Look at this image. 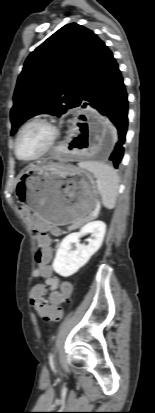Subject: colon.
I'll return each instance as SVG.
<instances>
[{
	"label": "colon",
	"instance_id": "1",
	"mask_svg": "<svg viewBox=\"0 0 155 413\" xmlns=\"http://www.w3.org/2000/svg\"><path fill=\"white\" fill-rule=\"evenodd\" d=\"M50 252L47 248V237L44 233L38 236V244L35 254L36 262L40 265L39 272L43 277H52L54 270L49 267ZM60 292L53 293L48 299L33 293L30 296L31 304L38 310L45 321L58 322L62 319L61 304L67 301L71 294L72 283L68 278H59Z\"/></svg>",
	"mask_w": 155,
	"mask_h": 413
}]
</instances>
